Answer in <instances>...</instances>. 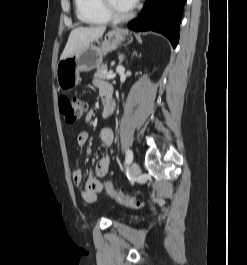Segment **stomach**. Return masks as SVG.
Wrapping results in <instances>:
<instances>
[{"instance_id": "obj_1", "label": "stomach", "mask_w": 247, "mask_h": 265, "mask_svg": "<svg viewBox=\"0 0 247 265\" xmlns=\"http://www.w3.org/2000/svg\"><path fill=\"white\" fill-rule=\"evenodd\" d=\"M127 32L123 29H114L108 32L101 41L100 46L89 43L75 54L61 59L56 67L58 86L63 91L72 90L80 79L81 71H91L98 68L103 57L125 40Z\"/></svg>"}]
</instances>
